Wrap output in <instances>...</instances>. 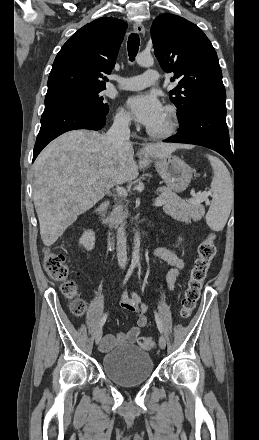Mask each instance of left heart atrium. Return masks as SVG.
Wrapping results in <instances>:
<instances>
[{
  "label": "left heart atrium",
  "mask_w": 259,
  "mask_h": 440,
  "mask_svg": "<svg viewBox=\"0 0 259 440\" xmlns=\"http://www.w3.org/2000/svg\"><path fill=\"white\" fill-rule=\"evenodd\" d=\"M127 106L134 119L148 128L156 124L164 113L161 102L152 94L131 96L127 99Z\"/></svg>",
  "instance_id": "39dd6f15"
}]
</instances>
